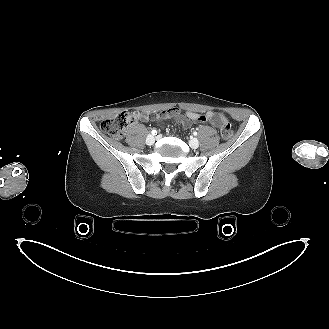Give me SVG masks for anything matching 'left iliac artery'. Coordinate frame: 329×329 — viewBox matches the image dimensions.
<instances>
[{
    "label": "left iliac artery",
    "mask_w": 329,
    "mask_h": 329,
    "mask_svg": "<svg viewBox=\"0 0 329 329\" xmlns=\"http://www.w3.org/2000/svg\"><path fill=\"white\" fill-rule=\"evenodd\" d=\"M193 134L196 136L198 133L195 131V132H193Z\"/></svg>",
    "instance_id": "obj_1"
}]
</instances>
